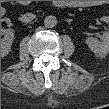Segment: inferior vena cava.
<instances>
[{
  "mask_svg": "<svg viewBox=\"0 0 109 109\" xmlns=\"http://www.w3.org/2000/svg\"><path fill=\"white\" fill-rule=\"evenodd\" d=\"M36 18L35 14L32 13H25L22 17H21V21L24 23H29L32 20H34Z\"/></svg>",
  "mask_w": 109,
  "mask_h": 109,
  "instance_id": "602c4592",
  "label": "inferior vena cava"
}]
</instances>
